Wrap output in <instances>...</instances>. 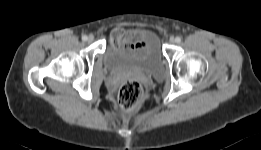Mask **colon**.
<instances>
[{"instance_id": "1", "label": "colon", "mask_w": 261, "mask_h": 150, "mask_svg": "<svg viewBox=\"0 0 261 150\" xmlns=\"http://www.w3.org/2000/svg\"><path fill=\"white\" fill-rule=\"evenodd\" d=\"M143 98V88L134 79H128L122 83L118 91V100L122 109L126 112L135 110Z\"/></svg>"}]
</instances>
